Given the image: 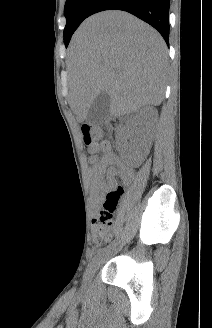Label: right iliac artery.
I'll return each instance as SVG.
<instances>
[{"label":"right iliac artery","mask_w":212,"mask_h":328,"mask_svg":"<svg viewBox=\"0 0 212 328\" xmlns=\"http://www.w3.org/2000/svg\"><path fill=\"white\" fill-rule=\"evenodd\" d=\"M116 245V241H114L113 242V244L112 245H109V246H107V247H105V248H101V249H99V250H97V252L95 253V255L93 256V258L91 259V262L89 263V265H88V269L87 270H89V268L100 258V257H102V256H104L105 255V253H107V252H109L111 249H112V247L113 246H115Z\"/></svg>","instance_id":"1"}]
</instances>
